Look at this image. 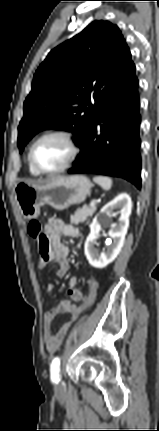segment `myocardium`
<instances>
[{
    "mask_svg": "<svg viewBox=\"0 0 159 431\" xmlns=\"http://www.w3.org/2000/svg\"><path fill=\"white\" fill-rule=\"evenodd\" d=\"M51 137H59V138L64 139L70 148V156L67 159V161L62 166H60L59 168L54 169V170H44V169L40 168L35 163L33 153H34V149L38 143H40L44 139L51 138ZM79 152H80L79 145H78L74 135L71 132L66 131V130H52V131H49V132L42 134L40 137H38L32 143V145L30 146V149H29V153H28V160H29V163L31 164V166L39 174L52 175V174L61 173L65 170H67L75 162V160L77 159V157L79 155Z\"/></svg>",
    "mask_w": 159,
    "mask_h": 431,
    "instance_id": "myocardium-1",
    "label": "myocardium"
}]
</instances>
